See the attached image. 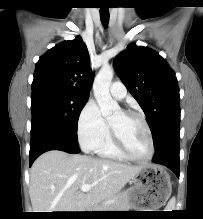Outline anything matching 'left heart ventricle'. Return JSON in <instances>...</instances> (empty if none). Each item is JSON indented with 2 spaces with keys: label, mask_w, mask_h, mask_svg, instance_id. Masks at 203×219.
Here are the masks:
<instances>
[{
  "label": "left heart ventricle",
  "mask_w": 203,
  "mask_h": 219,
  "mask_svg": "<svg viewBox=\"0 0 203 219\" xmlns=\"http://www.w3.org/2000/svg\"><path fill=\"white\" fill-rule=\"evenodd\" d=\"M110 123L120 134L129 152L140 159L149 154V141L142 121L132 115L117 111L110 119Z\"/></svg>",
  "instance_id": "1"
}]
</instances>
